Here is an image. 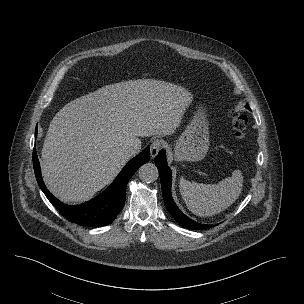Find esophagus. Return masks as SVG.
<instances>
[{
  "instance_id": "1",
  "label": "esophagus",
  "mask_w": 304,
  "mask_h": 304,
  "mask_svg": "<svg viewBox=\"0 0 304 304\" xmlns=\"http://www.w3.org/2000/svg\"><path fill=\"white\" fill-rule=\"evenodd\" d=\"M162 146H163V141L159 139H156L151 143L150 154L152 158H154L159 153Z\"/></svg>"
}]
</instances>
